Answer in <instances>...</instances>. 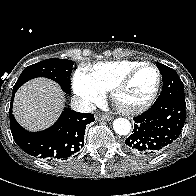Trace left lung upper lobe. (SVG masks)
Instances as JSON below:
<instances>
[{
  "label": "left lung upper lobe",
  "instance_id": "5c2ea615",
  "mask_svg": "<svg viewBox=\"0 0 196 196\" xmlns=\"http://www.w3.org/2000/svg\"><path fill=\"white\" fill-rule=\"evenodd\" d=\"M162 74L163 88L161 94L157 100H163L166 98H183L184 96V85L180 80L178 74L172 69L159 62L156 63Z\"/></svg>",
  "mask_w": 196,
  "mask_h": 196
}]
</instances>
